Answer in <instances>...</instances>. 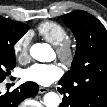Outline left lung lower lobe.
<instances>
[{
  "label": "left lung lower lobe",
  "instance_id": "left-lung-lower-lobe-1",
  "mask_svg": "<svg viewBox=\"0 0 107 107\" xmlns=\"http://www.w3.org/2000/svg\"><path fill=\"white\" fill-rule=\"evenodd\" d=\"M61 85L58 91L64 94L60 107H70L68 104L69 97H72L74 90L59 82ZM84 101L82 107H107V79L100 77L85 81L80 84Z\"/></svg>",
  "mask_w": 107,
  "mask_h": 107
}]
</instances>
